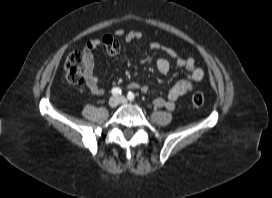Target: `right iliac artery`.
Instances as JSON below:
<instances>
[{"instance_id":"1","label":"right iliac artery","mask_w":272,"mask_h":198,"mask_svg":"<svg viewBox=\"0 0 272 198\" xmlns=\"http://www.w3.org/2000/svg\"><path fill=\"white\" fill-rule=\"evenodd\" d=\"M112 94L113 95H119V94H121V89L118 88V87L113 88L112 89Z\"/></svg>"}]
</instances>
